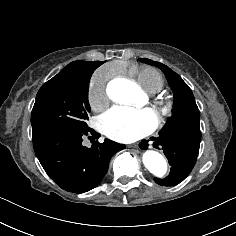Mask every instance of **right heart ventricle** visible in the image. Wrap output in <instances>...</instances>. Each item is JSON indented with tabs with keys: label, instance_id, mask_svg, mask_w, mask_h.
<instances>
[{
	"label": "right heart ventricle",
	"instance_id": "1",
	"mask_svg": "<svg viewBox=\"0 0 236 236\" xmlns=\"http://www.w3.org/2000/svg\"><path fill=\"white\" fill-rule=\"evenodd\" d=\"M117 73L128 77L129 81L138 84L149 94L158 93L164 87L162 76L156 70L149 67L129 70L126 65H122Z\"/></svg>",
	"mask_w": 236,
	"mask_h": 236
}]
</instances>
